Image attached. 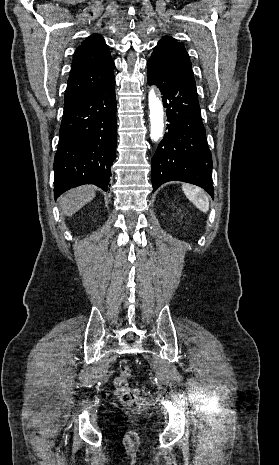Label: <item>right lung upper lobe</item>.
<instances>
[{"mask_svg": "<svg viewBox=\"0 0 279 465\" xmlns=\"http://www.w3.org/2000/svg\"><path fill=\"white\" fill-rule=\"evenodd\" d=\"M114 66L109 47L102 36H89L74 53L64 109L82 101L107 81L113 75Z\"/></svg>", "mask_w": 279, "mask_h": 465, "instance_id": "right-lung-upper-lobe-1", "label": "right lung upper lobe"}]
</instances>
